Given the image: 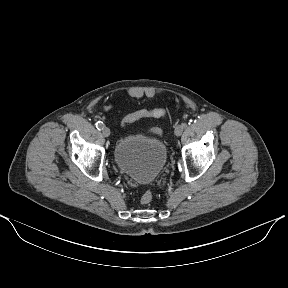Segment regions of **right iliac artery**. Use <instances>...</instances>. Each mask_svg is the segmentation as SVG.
I'll list each match as a JSON object with an SVG mask.
<instances>
[{"instance_id":"82829eb1","label":"right iliac artery","mask_w":288,"mask_h":288,"mask_svg":"<svg viewBox=\"0 0 288 288\" xmlns=\"http://www.w3.org/2000/svg\"><path fill=\"white\" fill-rule=\"evenodd\" d=\"M96 128H97L98 130H102V129L104 128L103 122H102V121H98V122L96 123Z\"/></svg>"}]
</instances>
